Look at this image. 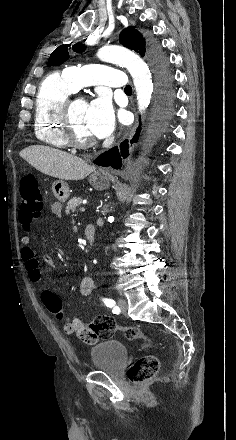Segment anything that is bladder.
<instances>
[{
  "label": "bladder",
  "instance_id": "31cf9c89",
  "mask_svg": "<svg viewBox=\"0 0 236 440\" xmlns=\"http://www.w3.org/2000/svg\"><path fill=\"white\" fill-rule=\"evenodd\" d=\"M90 356L94 370L109 375L120 374L128 362L127 349L117 340H107L94 345L90 350Z\"/></svg>",
  "mask_w": 236,
  "mask_h": 440
}]
</instances>
